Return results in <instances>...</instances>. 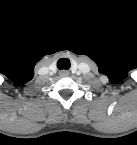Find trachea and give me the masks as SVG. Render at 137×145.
I'll return each mask as SVG.
<instances>
[{"instance_id":"1","label":"trachea","mask_w":137,"mask_h":145,"mask_svg":"<svg viewBox=\"0 0 137 145\" xmlns=\"http://www.w3.org/2000/svg\"><path fill=\"white\" fill-rule=\"evenodd\" d=\"M57 67L59 69H65L68 70L70 68V62L69 59L67 58H61L59 59L58 63H57Z\"/></svg>"}]
</instances>
